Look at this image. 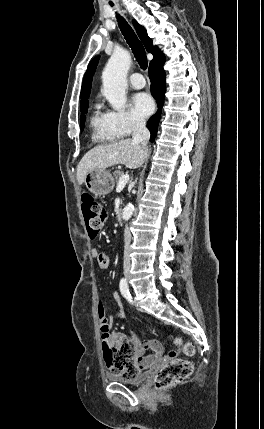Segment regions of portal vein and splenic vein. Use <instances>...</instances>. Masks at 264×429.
<instances>
[{"mask_svg":"<svg viewBox=\"0 0 264 429\" xmlns=\"http://www.w3.org/2000/svg\"><path fill=\"white\" fill-rule=\"evenodd\" d=\"M129 181V175L123 174L118 181V187H124Z\"/></svg>","mask_w":264,"mask_h":429,"instance_id":"portal-vein-and-splenic-vein-1","label":"portal vein and splenic vein"}]
</instances>
